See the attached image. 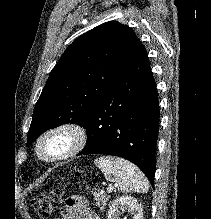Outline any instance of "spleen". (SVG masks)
I'll return each instance as SVG.
<instances>
[{"label":"spleen","instance_id":"spleen-1","mask_svg":"<svg viewBox=\"0 0 211 219\" xmlns=\"http://www.w3.org/2000/svg\"><path fill=\"white\" fill-rule=\"evenodd\" d=\"M107 180L114 182L122 193H147L149 184L142 172L131 162L110 156L95 160Z\"/></svg>","mask_w":211,"mask_h":219}]
</instances>
